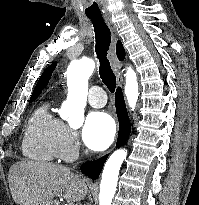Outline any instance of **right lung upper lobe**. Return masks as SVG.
I'll return each instance as SVG.
<instances>
[{
    "mask_svg": "<svg viewBox=\"0 0 199 205\" xmlns=\"http://www.w3.org/2000/svg\"><path fill=\"white\" fill-rule=\"evenodd\" d=\"M116 53H117L119 60L122 61L125 58V50H124V47L120 41L117 42ZM55 67H56V63H53L52 65H50L49 67H47L45 69V71L43 72V74L41 75L40 79L38 80V82L36 84V87L31 95L30 100H35L41 94V91L48 84V81H49L51 74H52L53 70L55 69Z\"/></svg>",
    "mask_w": 199,
    "mask_h": 205,
    "instance_id": "obj_1",
    "label": "right lung upper lobe"
}]
</instances>
